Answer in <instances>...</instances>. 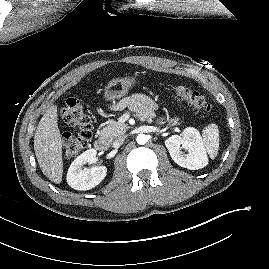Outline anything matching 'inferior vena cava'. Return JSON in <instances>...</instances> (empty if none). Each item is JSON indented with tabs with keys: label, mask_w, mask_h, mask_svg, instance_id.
Instances as JSON below:
<instances>
[{
	"label": "inferior vena cava",
	"mask_w": 269,
	"mask_h": 269,
	"mask_svg": "<svg viewBox=\"0 0 269 269\" xmlns=\"http://www.w3.org/2000/svg\"><path fill=\"white\" fill-rule=\"evenodd\" d=\"M125 140V136L119 137L113 142V147L118 148Z\"/></svg>",
	"instance_id": "1"
}]
</instances>
